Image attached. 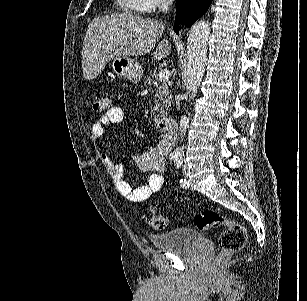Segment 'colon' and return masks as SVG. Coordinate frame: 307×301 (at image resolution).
<instances>
[{
    "mask_svg": "<svg viewBox=\"0 0 307 301\" xmlns=\"http://www.w3.org/2000/svg\"><path fill=\"white\" fill-rule=\"evenodd\" d=\"M111 107V98L105 92L99 95L93 105L94 110L97 112H107ZM145 220L150 227L156 230H163L167 225L165 217L153 209L146 212ZM193 224L201 231L224 227L219 236L220 252L217 256V262H223L228 259L245 245L247 238L246 228L215 210L208 209L198 213L193 219Z\"/></svg>",
    "mask_w": 307,
    "mask_h": 301,
    "instance_id": "colon-1",
    "label": "colon"
}]
</instances>
